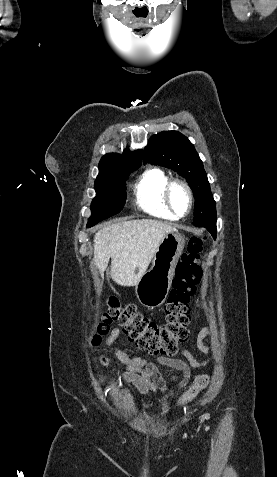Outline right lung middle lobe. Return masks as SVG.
I'll return each instance as SVG.
<instances>
[{
  "mask_svg": "<svg viewBox=\"0 0 277 477\" xmlns=\"http://www.w3.org/2000/svg\"><path fill=\"white\" fill-rule=\"evenodd\" d=\"M136 169L115 168L99 172L95 180L96 196L91 204L92 216L87 227L119 213L126 200L125 181Z\"/></svg>",
  "mask_w": 277,
  "mask_h": 477,
  "instance_id": "1",
  "label": "right lung middle lobe"
}]
</instances>
